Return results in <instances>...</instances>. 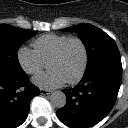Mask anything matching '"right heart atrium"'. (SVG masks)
<instances>
[{
	"mask_svg": "<svg viewBox=\"0 0 128 128\" xmlns=\"http://www.w3.org/2000/svg\"><path fill=\"white\" fill-rule=\"evenodd\" d=\"M17 60L20 67L29 75L38 74L44 67V62L37 52L27 46L18 49Z\"/></svg>",
	"mask_w": 128,
	"mask_h": 128,
	"instance_id": "obj_1",
	"label": "right heart atrium"
}]
</instances>
